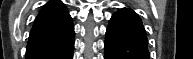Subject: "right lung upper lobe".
Masks as SVG:
<instances>
[{"label": "right lung upper lobe", "instance_id": "cb5924a9", "mask_svg": "<svg viewBox=\"0 0 193 59\" xmlns=\"http://www.w3.org/2000/svg\"><path fill=\"white\" fill-rule=\"evenodd\" d=\"M66 7L60 1L48 2L39 12L30 32L27 47L54 43L73 31Z\"/></svg>", "mask_w": 193, "mask_h": 59}]
</instances>
